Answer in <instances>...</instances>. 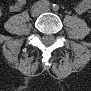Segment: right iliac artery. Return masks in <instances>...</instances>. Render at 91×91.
<instances>
[{"mask_svg":"<svg viewBox=\"0 0 91 91\" xmlns=\"http://www.w3.org/2000/svg\"><path fill=\"white\" fill-rule=\"evenodd\" d=\"M50 5L49 1L48 0H41V1H38L36 2L34 5H32L31 9H35V8H38V7H48Z\"/></svg>","mask_w":91,"mask_h":91,"instance_id":"82829eb1","label":"right iliac artery"}]
</instances>
